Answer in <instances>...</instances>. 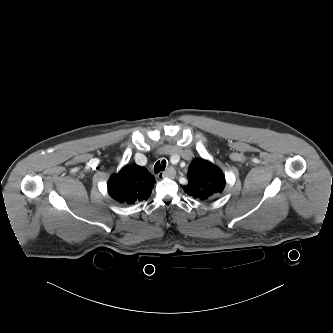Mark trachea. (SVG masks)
Listing matches in <instances>:
<instances>
[{"mask_svg": "<svg viewBox=\"0 0 333 333\" xmlns=\"http://www.w3.org/2000/svg\"><path fill=\"white\" fill-rule=\"evenodd\" d=\"M166 167V161L162 160V161H157L155 166H154V172L157 174L161 171H164Z\"/></svg>", "mask_w": 333, "mask_h": 333, "instance_id": "3493384b", "label": "trachea"}]
</instances>
